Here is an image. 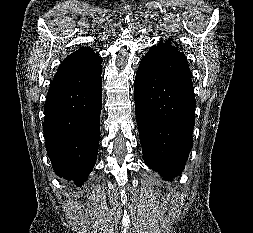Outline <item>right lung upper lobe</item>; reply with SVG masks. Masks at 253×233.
<instances>
[{
    "label": "right lung upper lobe",
    "instance_id": "cb5924a9",
    "mask_svg": "<svg viewBox=\"0 0 253 233\" xmlns=\"http://www.w3.org/2000/svg\"><path fill=\"white\" fill-rule=\"evenodd\" d=\"M102 59L98 52L90 47H82L64 59L57 72L61 71H84L97 67Z\"/></svg>",
    "mask_w": 253,
    "mask_h": 233
}]
</instances>
